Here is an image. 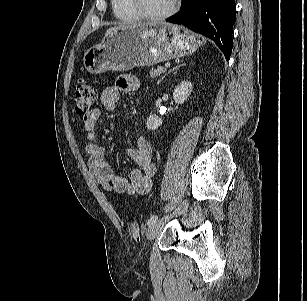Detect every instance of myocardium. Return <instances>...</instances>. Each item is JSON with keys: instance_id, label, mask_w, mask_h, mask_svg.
Masks as SVG:
<instances>
[{"instance_id": "1", "label": "myocardium", "mask_w": 307, "mask_h": 301, "mask_svg": "<svg viewBox=\"0 0 307 301\" xmlns=\"http://www.w3.org/2000/svg\"><path fill=\"white\" fill-rule=\"evenodd\" d=\"M130 5L133 11L142 19L149 20V21H160L165 20L172 15H174L179 7H180V0H173L171 7L160 14H152L145 11L141 5V0H129Z\"/></svg>"}]
</instances>
